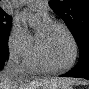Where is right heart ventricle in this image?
I'll return each instance as SVG.
<instances>
[{"label":"right heart ventricle","instance_id":"obj_1","mask_svg":"<svg viewBox=\"0 0 89 89\" xmlns=\"http://www.w3.org/2000/svg\"><path fill=\"white\" fill-rule=\"evenodd\" d=\"M24 66L29 72H48V70L39 59L36 50L25 59Z\"/></svg>","mask_w":89,"mask_h":89}]
</instances>
